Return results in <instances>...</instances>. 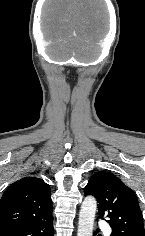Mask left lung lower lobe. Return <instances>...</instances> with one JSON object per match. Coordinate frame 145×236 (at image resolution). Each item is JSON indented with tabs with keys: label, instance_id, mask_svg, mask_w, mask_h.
I'll return each mask as SVG.
<instances>
[{
	"label": "left lung lower lobe",
	"instance_id": "0a47b994",
	"mask_svg": "<svg viewBox=\"0 0 145 236\" xmlns=\"http://www.w3.org/2000/svg\"><path fill=\"white\" fill-rule=\"evenodd\" d=\"M99 230H97L96 232H94V235L93 236H96V233L98 232Z\"/></svg>",
	"mask_w": 145,
	"mask_h": 236
}]
</instances>
